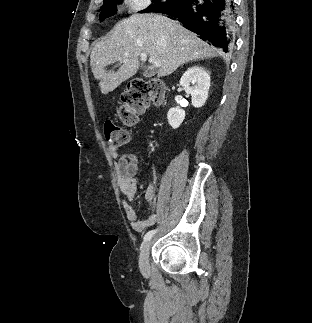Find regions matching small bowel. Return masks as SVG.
<instances>
[{"instance_id":"1","label":"small bowel","mask_w":312,"mask_h":323,"mask_svg":"<svg viewBox=\"0 0 312 323\" xmlns=\"http://www.w3.org/2000/svg\"><path fill=\"white\" fill-rule=\"evenodd\" d=\"M110 154L116 160L115 168L118 187L126 197L122 203L125 215L135 231H144L159 218V213L156 211V187L153 184L147 186L145 196L148 208L145 217H140L133 206L137 193L136 177L139 171L138 160L133 155H119L116 148H112Z\"/></svg>"}]
</instances>
